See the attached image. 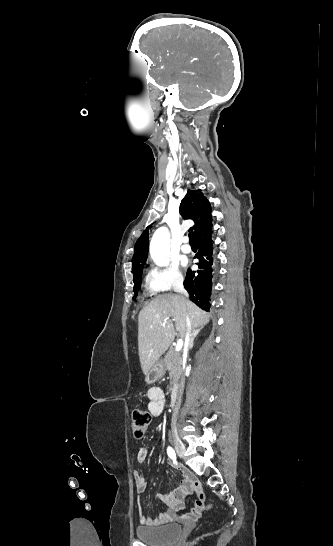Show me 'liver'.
<instances>
[{
	"label": "liver",
	"mask_w": 333,
	"mask_h": 546,
	"mask_svg": "<svg viewBox=\"0 0 333 546\" xmlns=\"http://www.w3.org/2000/svg\"><path fill=\"white\" fill-rule=\"evenodd\" d=\"M209 318L208 313L181 296L163 294L153 299L138 316V351L143 373L147 375L175 337H185L187 320L195 328L206 325Z\"/></svg>",
	"instance_id": "6515ba94"
}]
</instances>
